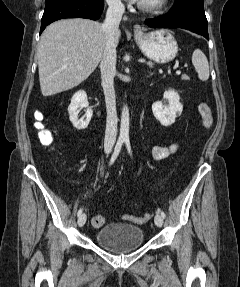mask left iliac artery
<instances>
[{
  "instance_id": "left-iliac-artery-1",
  "label": "left iliac artery",
  "mask_w": 240,
  "mask_h": 287,
  "mask_svg": "<svg viewBox=\"0 0 240 287\" xmlns=\"http://www.w3.org/2000/svg\"><path fill=\"white\" fill-rule=\"evenodd\" d=\"M125 144L128 150V153L132 156V151H131V146H130V141L129 140H125ZM160 214L163 218L166 217L165 213L163 211H160Z\"/></svg>"
}]
</instances>
